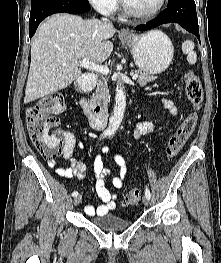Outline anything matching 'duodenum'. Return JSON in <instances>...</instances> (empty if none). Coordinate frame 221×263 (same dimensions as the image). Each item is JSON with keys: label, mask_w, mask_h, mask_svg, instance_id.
<instances>
[{"label": "duodenum", "mask_w": 221, "mask_h": 263, "mask_svg": "<svg viewBox=\"0 0 221 263\" xmlns=\"http://www.w3.org/2000/svg\"><path fill=\"white\" fill-rule=\"evenodd\" d=\"M94 73H85L78 82V89L82 92L90 91L96 84ZM80 106L85 115L90 119L91 126L96 130H101L107 123V116L99 105L86 97L80 99Z\"/></svg>", "instance_id": "1"}]
</instances>
